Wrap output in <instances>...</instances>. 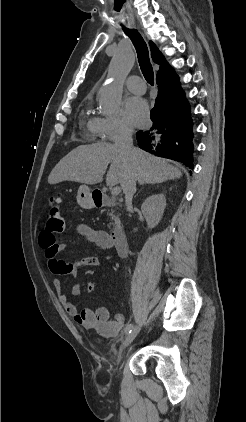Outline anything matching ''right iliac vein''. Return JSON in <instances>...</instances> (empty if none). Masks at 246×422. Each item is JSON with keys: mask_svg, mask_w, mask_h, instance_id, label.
<instances>
[{"mask_svg": "<svg viewBox=\"0 0 246 422\" xmlns=\"http://www.w3.org/2000/svg\"><path fill=\"white\" fill-rule=\"evenodd\" d=\"M139 330H140V325H135V326L132 327L131 332L127 335V337H126V339L123 343L124 349L129 347V345L133 342V340L137 336Z\"/></svg>", "mask_w": 246, "mask_h": 422, "instance_id": "1", "label": "right iliac vein"}]
</instances>
